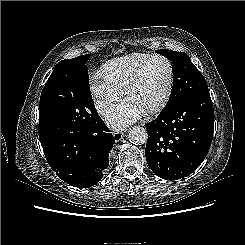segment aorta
Returning a JSON list of instances; mask_svg holds the SVG:
<instances>
[{
    "label": "aorta",
    "instance_id": "762f6f07",
    "mask_svg": "<svg viewBox=\"0 0 245 245\" xmlns=\"http://www.w3.org/2000/svg\"><path fill=\"white\" fill-rule=\"evenodd\" d=\"M129 141L135 145H142L147 142V131L140 126L133 127L128 133Z\"/></svg>",
    "mask_w": 245,
    "mask_h": 245
}]
</instances>
